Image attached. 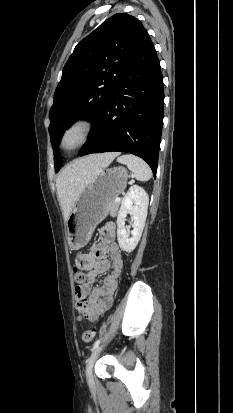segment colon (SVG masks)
I'll use <instances>...</instances> for the list:
<instances>
[{"mask_svg": "<svg viewBox=\"0 0 233 413\" xmlns=\"http://www.w3.org/2000/svg\"><path fill=\"white\" fill-rule=\"evenodd\" d=\"M87 274L85 273L84 269L81 267V264L76 261L74 266V280L78 286L83 285L87 280ZM95 329L90 328L83 332L82 340L85 343L91 342L95 337Z\"/></svg>", "mask_w": 233, "mask_h": 413, "instance_id": "colon-1", "label": "colon"}]
</instances>
